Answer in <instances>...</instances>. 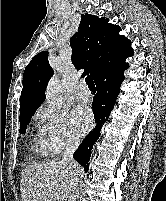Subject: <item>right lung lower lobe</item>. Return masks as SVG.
I'll return each instance as SVG.
<instances>
[{
    "mask_svg": "<svg viewBox=\"0 0 166 201\" xmlns=\"http://www.w3.org/2000/svg\"><path fill=\"white\" fill-rule=\"evenodd\" d=\"M127 68V64L110 68L95 82L97 94L94 97L92 107L97 125L94 130L87 135L73 155V158L84 167L85 171H88L89 169L88 161L91 155V150L100 136L103 124L109 118L110 112L114 107L119 93L120 84L124 79L123 73Z\"/></svg>",
    "mask_w": 166,
    "mask_h": 201,
    "instance_id": "obj_1",
    "label": "right lung lower lobe"
}]
</instances>
